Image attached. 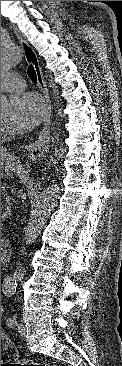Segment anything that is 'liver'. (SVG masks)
Listing matches in <instances>:
<instances>
[{"label": "liver", "instance_id": "1", "mask_svg": "<svg viewBox=\"0 0 122 366\" xmlns=\"http://www.w3.org/2000/svg\"><path fill=\"white\" fill-rule=\"evenodd\" d=\"M24 173V168L17 157L7 152L6 148L1 146V178L4 176L12 177L13 174L23 177Z\"/></svg>", "mask_w": 122, "mask_h": 366}]
</instances>
